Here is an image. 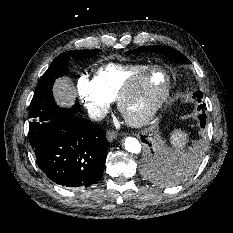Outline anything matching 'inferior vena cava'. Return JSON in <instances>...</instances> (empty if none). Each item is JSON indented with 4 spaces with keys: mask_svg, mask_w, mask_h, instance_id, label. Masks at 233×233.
I'll return each mask as SVG.
<instances>
[{
    "mask_svg": "<svg viewBox=\"0 0 233 233\" xmlns=\"http://www.w3.org/2000/svg\"><path fill=\"white\" fill-rule=\"evenodd\" d=\"M90 118L100 121L105 117V113L100 108H95L89 113Z\"/></svg>",
    "mask_w": 233,
    "mask_h": 233,
    "instance_id": "obj_1",
    "label": "inferior vena cava"
}]
</instances>
